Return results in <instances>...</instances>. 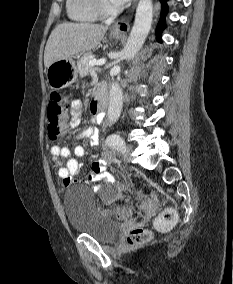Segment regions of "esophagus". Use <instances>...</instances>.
Returning <instances> with one entry per match:
<instances>
[{
  "mask_svg": "<svg viewBox=\"0 0 233 284\" xmlns=\"http://www.w3.org/2000/svg\"><path fill=\"white\" fill-rule=\"evenodd\" d=\"M137 0H134V5L132 7V9L124 16L122 17L121 19H119L118 21H116L113 26H112V31L113 32H116V33H127L129 28H130V25H129V22H130V19L132 17V12L135 8V2Z\"/></svg>",
  "mask_w": 233,
  "mask_h": 284,
  "instance_id": "esophagus-1",
  "label": "esophagus"
}]
</instances>
